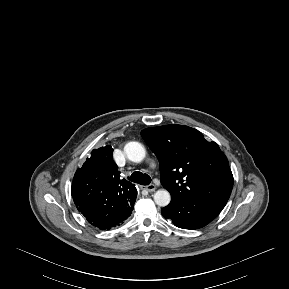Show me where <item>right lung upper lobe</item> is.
Masks as SVG:
<instances>
[{
  "label": "right lung upper lobe",
  "mask_w": 289,
  "mask_h": 289,
  "mask_svg": "<svg viewBox=\"0 0 289 289\" xmlns=\"http://www.w3.org/2000/svg\"><path fill=\"white\" fill-rule=\"evenodd\" d=\"M110 145L94 149L73 178L71 193L77 209L82 214L109 213L121 205L133 204L135 186L120 179V172L113 161Z\"/></svg>",
  "instance_id": "right-lung-upper-lobe-1"
}]
</instances>
